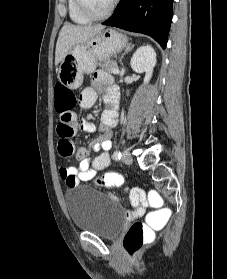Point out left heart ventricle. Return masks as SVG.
I'll use <instances>...</instances> for the list:
<instances>
[{"label":"left heart ventricle","instance_id":"b2bd125f","mask_svg":"<svg viewBox=\"0 0 227 279\" xmlns=\"http://www.w3.org/2000/svg\"><path fill=\"white\" fill-rule=\"evenodd\" d=\"M111 1L112 0H85L88 8L97 15L106 12L111 4Z\"/></svg>","mask_w":227,"mask_h":279}]
</instances>
